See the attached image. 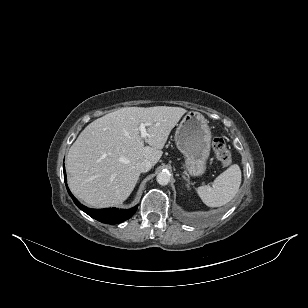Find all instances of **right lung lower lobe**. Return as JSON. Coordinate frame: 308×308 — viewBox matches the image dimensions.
<instances>
[{"label": "right lung lower lobe", "mask_w": 308, "mask_h": 308, "mask_svg": "<svg viewBox=\"0 0 308 308\" xmlns=\"http://www.w3.org/2000/svg\"><path fill=\"white\" fill-rule=\"evenodd\" d=\"M63 170H64V180H65L66 188L68 190L69 195L73 199L74 203L78 206V208H80L82 211H84L86 214H88L92 218L102 223H107V224L112 225V224L121 223L129 219L136 212L137 206L131 209H117V208L90 209L86 206H83L70 192L67 186V178H66V172H65L64 166H63Z\"/></svg>", "instance_id": "right-lung-lower-lobe-1"}]
</instances>
